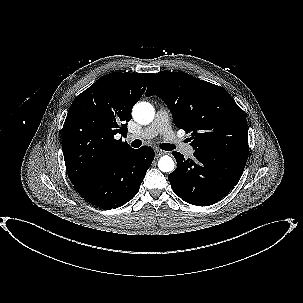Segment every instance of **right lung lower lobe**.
Listing matches in <instances>:
<instances>
[{
	"mask_svg": "<svg viewBox=\"0 0 303 303\" xmlns=\"http://www.w3.org/2000/svg\"><path fill=\"white\" fill-rule=\"evenodd\" d=\"M153 159L152 148L134 149L74 187L92 205L103 209L118 208L136 195Z\"/></svg>",
	"mask_w": 303,
	"mask_h": 303,
	"instance_id": "obj_1",
	"label": "right lung lower lobe"
}]
</instances>
